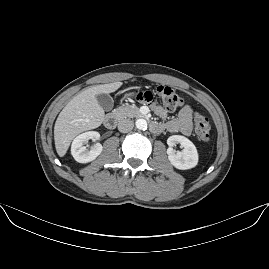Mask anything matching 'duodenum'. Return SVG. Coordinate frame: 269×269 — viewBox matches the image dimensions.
<instances>
[{
    "instance_id": "410a0bca",
    "label": "duodenum",
    "mask_w": 269,
    "mask_h": 269,
    "mask_svg": "<svg viewBox=\"0 0 269 269\" xmlns=\"http://www.w3.org/2000/svg\"><path fill=\"white\" fill-rule=\"evenodd\" d=\"M139 116L142 118L146 117L145 113H139ZM116 123H117V120L113 115H107L104 118V126L109 130L114 129L116 126ZM149 128L153 133H159L162 131L163 126L161 124L153 122V123H150Z\"/></svg>"
}]
</instances>
